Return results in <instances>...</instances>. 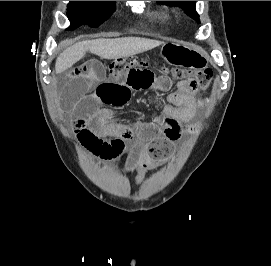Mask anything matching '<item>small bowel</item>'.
<instances>
[{"instance_id":"small-bowel-1","label":"small bowel","mask_w":271,"mask_h":266,"mask_svg":"<svg viewBox=\"0 0 271 266\" xmlns=\"http://www.w3.org/2000/svg\"><path fill=\"white\" fill-rule=\"evenodd\" d=\"M60 68L65 73L60 105L69 115L79 142L104 160L117 158L126 142H134L138 153L129 160L127 169L136 173L138 184L164 160L183 132L195 130L193 119L206 103L179 86L167 95L159 117L148 122L115 121L112 110L104 106L121 107L138 90L166 92L170 79L157 74L150 64L133 66L116 76H108L96 60Z\"/></svg>"}]
</instances>
